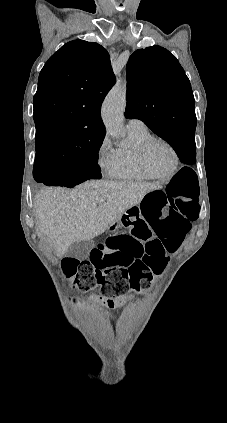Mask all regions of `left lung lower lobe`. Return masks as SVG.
I'll return each instance as SVG.
<instances>
[{"label": "left lung lower lobe", "mask_w": 227, "mask_h": 423, "mask_svg": "<svg viewBox=\"0 0 227 423\" xmlns=\"http://www.w3.org/2000/svg\"><path fill=\"white\" fill-rule=\"evenodd\" d=\"M175 152L177 153L179 159L185 164H195L196 163V147L195 139L191 138H181L176 140L171 144ZM189 169L187 167L183 168L180 173H184ZM191 170V169H190ZM192 171V170H191ZM190 172V171H188ZM192 173V172H190Z\"/></svg>", "instance_id": "1"}]
</instances>
